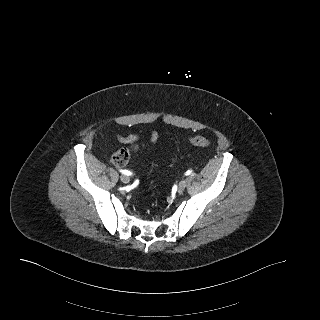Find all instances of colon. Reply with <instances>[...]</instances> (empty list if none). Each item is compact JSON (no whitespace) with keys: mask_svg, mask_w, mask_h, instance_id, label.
Here are the masks:
<instances>
[{"mask_svg":"<svg viewBox=\"0 0 320 320\" xmlns=\"http://www.w3.org/2000/svg\"><path fill=\"white\" fill-rule=\"evenodd\" d=\"M187 141L189 144L201 148H207L211 144L210 140L204 136H194L189 138ZM138 148L139 146L137 144L132 145L131 147L119 148L112 157L113 163L118 167L124 166L129 159L130 153Z\"/></svg>","mask_w":320,"mask_h":320,"instance_id":"5ec220e1","label":"colon"}]
</instances>
